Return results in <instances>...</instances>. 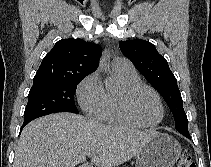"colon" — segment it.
Instances as JSON below:
<instances>
[{
    "mask_svg": "<svg viewBox=\"0 0 211 167\" xmlns=\"http://www.w3.org/2000/svg\"><path fill=\"white\" fill-rule=\"evenodd\" d=\"M175 167H195L191 157L188 154L183 155Z\"/></svg>",
    "mask_w": 211,
    "mask_h": 167,
    "instance_id": "1",
    "label": "colon"
}]
</instances>
